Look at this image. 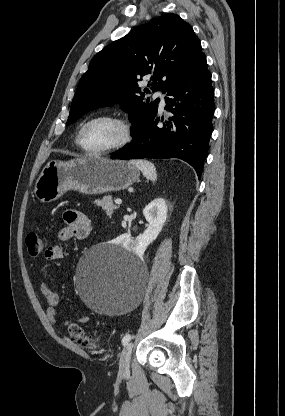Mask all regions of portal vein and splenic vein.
Wrapping results in <instances>:
<instances>
[{
  "instance_id": "18ae733b",
  "label": "portal vein and splenic vein",
  "mask_w": 285,
  "mask_h": 416,
  "mask_svg": "<svg viewBox=\"0 0 285 416\" xmlns=\"http://www.w3.org/2000/svg\"><path fill=\"white\" fill-rule=\"evenodd\" d=\"M115 204H122V200H115Z\"/></svg>"
}]
</instances>
